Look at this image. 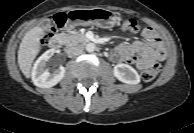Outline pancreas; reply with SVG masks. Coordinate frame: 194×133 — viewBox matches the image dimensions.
<instances>
[{"label": "pancreas", "mask_w": 194, "mask_h": 133, "mask_svg": "<svg viewBox=\"0 0 194 133\" xmlns=\"http://www.w3.org/2000/svg\"><path fill=\"white\" fill-rule=\"evenodd\" d=\"M62 36L67 46H75L87 41V38L81 32L70 31L68 33H63Z\"/></svg>", "instance_id": "pancreas-1"}]
</instances>
